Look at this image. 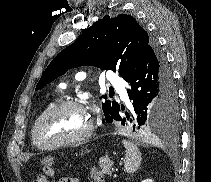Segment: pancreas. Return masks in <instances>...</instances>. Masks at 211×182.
I'll list each match as a JSON object with an SVG mask.
<instances>
[{
  "instance_id": "1",
  "label": "pancreas",
  "mask_w": 211,
  "mask_h": 182,
  "mask_svg": "<svg viewBox=\"0 0 211 182\" xmlns=\"http://www.w3.org/2000/svg\"><path fill=\"white\" fill-rule=\"evenodd\" d=\"M100 168L102 173L107 174V175H111L112 173V169H111V163L110 162H105L103 160L100 161Z\"/></svg>"
}]
</instances>
